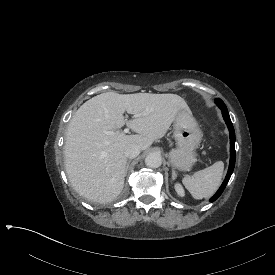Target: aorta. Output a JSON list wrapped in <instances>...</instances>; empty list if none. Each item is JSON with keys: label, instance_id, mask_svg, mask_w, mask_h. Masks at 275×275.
Returning <instances> with one entry per match:
<instances>
[{"label": "aorta", "instance_id": "762f6f07", "mask_svg": "<svg viewBox=\"0 0 275 275\" xmlns=\"http://www.w3.org/2000/svg\"><path fill=\"white\" fill-rule=\"evenodd\" d=\"M145 163L149 167L157 168L162 164L161 155L156 152L149 153L145 158Z\"/></svg>", "mask_w": 275, "mask_h": 275}]
</instances>
